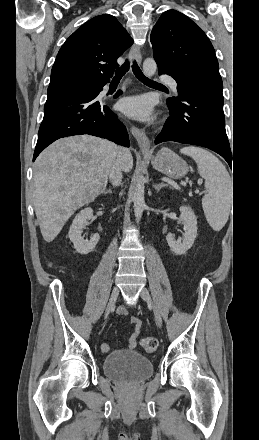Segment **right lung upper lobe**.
I'll use <instances>...</instances> for the list:
<instances>
[{
    "instance_id": "cb5924a9",
    "label": "right lung upper lobe",
    "mask_w": 259,
    "mask_h": 440,
    "mask_svg": "<svg viewBox=\"0 0 259 440\" xmlns=\"http://www.w3.org/2000/svg\"><path fill=\"white\" fill-rule=\"evenodd\" d=\"M132 43L114 16L103 14L92 18L79 27L59 50L48 93L105 85L119 66L117 58Z\"/></svg>"
}]
</instances>
